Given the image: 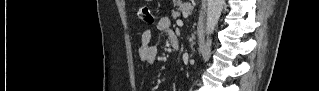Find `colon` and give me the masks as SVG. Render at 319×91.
Segmentation results:
<instances>
[{"instance_id":"5ec220e1","label":"colon","mask_w":319,"mask_h":91,"mask_svg":"<svg viewBox=\"0 0 319 91\" xmlns=\"http://www.w3.org/2000/svg\"><path fill=\"white\" fill-rule=\"evenodd\" d=\"M137 16L141 21H143L147 25L154 24V16L151 12V9L148 6H140L137 9Z\"/></svg>"}]
</instances>
